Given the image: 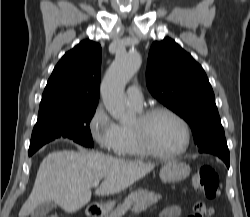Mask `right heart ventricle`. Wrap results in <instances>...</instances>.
<instances>
[{
    "label": "right heart ventricle",
    "mask_w": 250,
    "mask_h": 217,
    "mask_svg": "<svg viewBox=\"0 0 250 217\" xmlns=\"http://www.w3.org/2000/svg\"><path fill=\"white\" fill-rule=\"evenodd\" d=\"M140 111L141 109H136ZM121 145L118 154L124 157H141L146 154L140 149L132 131V127L120 125Z\"/></svg>",
    "instance_id": "obj_1"
}]
</instances>
